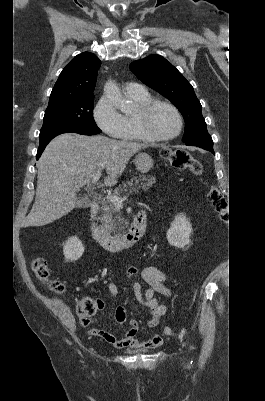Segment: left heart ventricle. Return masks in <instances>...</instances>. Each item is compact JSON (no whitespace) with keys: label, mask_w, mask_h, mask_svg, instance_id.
Returning a JSON list of instances; mask_svg holds the SVG:
<instances>
[{"label":"left heart ventricle","mask_w":265,"mask_h":401,"mask_svg":"<svg viewBox=\"0 0 265 401\" xmlns=\"http://www.w3.org/2000/svg\"><path fill=\"white\" fill-rule=\"evenodd\" d=\"M147 129L156 138L169 137L178 131V119L167 107L158 106L148 116Z\"/></svg>","instance_id":"obj_1"}]
</instances>
